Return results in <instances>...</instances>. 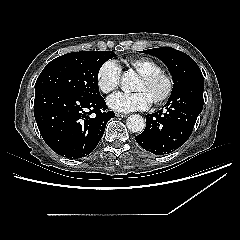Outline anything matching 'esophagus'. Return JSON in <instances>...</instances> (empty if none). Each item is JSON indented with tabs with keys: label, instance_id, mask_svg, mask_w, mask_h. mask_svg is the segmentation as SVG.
Masks as SVG:
<instances>
[{
	"label": "esophagus",
	"instance_id": "1",
	"mask_svg": "<svg viewBox=\"0 0 240 240\" xmlns=\"http://www.w3.org/2000/svg\"><path fill=\"white\" fill-rule=\"evenodd\" d=\"M117 117H127L128 115L127 114H123V113H116L115 114Z\"/></svg>",
	"mask_w": 240,
	"mask_h": 240
}]
</instances>
